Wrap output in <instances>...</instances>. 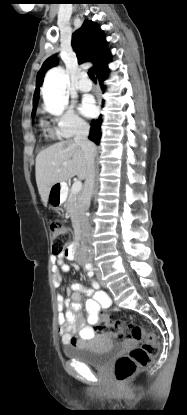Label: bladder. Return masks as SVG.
I'll return each mask as SVG.
<instances>
[{
    "label": "bladder",
    "instance_id": "obj_1",
    "mask_svg": "<svg viewBox=\"0 0 187 415\" xmlns=\"http://www.w3.org/2000/svg\"><path fill=\"white\" fill-rule=\"evenodd\" d=\"M63 351L69 359L82 361L95 368H104L113 357L120 353L121 345L117 344L102 351H91L81 346L68 345Z\"/></svg>",
    "mask_w": 187,
    "mask_h": 415
}]
</instances>
